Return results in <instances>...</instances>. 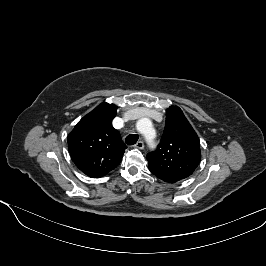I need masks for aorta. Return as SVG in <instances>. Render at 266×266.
<instances>
[{
	"label": "aorta",
	"mask_w": 266,
	"mask_h": 266,
	"mask_svg": "<svg viewBox=\"0 0 266 266\" xmlns=\"http://www.w3.org/2000/svg\"><path fill=\"white\" fill-rule=\"evenodd\" d=\"M138 130L145 136V139L149 145L153 144L152 134H153V126L152 122L149 118H141L137 122Z\"/></svg>",
	"instance_id": "aorta-1"
}]
</instances>
